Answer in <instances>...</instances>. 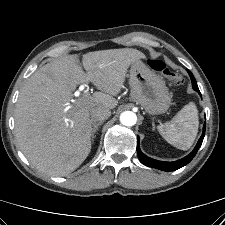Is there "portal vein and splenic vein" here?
Here are the masks:
<instances>
[{
    "mask_svg": "<svg viewBox=\"0 0 225 225\" xmlns=\"http://www.w3.org/2000/svg\"><path fill=\"white\" fill-rule=\"evenodd\" d=\"M83 98H84V101H85V102H88L89 99H90V95L87 93V94L84 95ZM68 108H69V106L67 107V109H68Z\"/></svg>",
    "mask_w": 225,
    "mask_h": 225,
    "instance_id": "obj_1",
    "label": "portal vein and splenic vein"
}]
</instances>
